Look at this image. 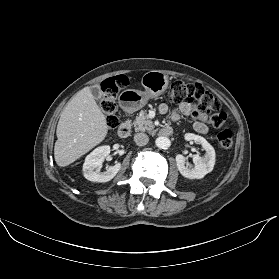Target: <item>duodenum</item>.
Wrapping results in <instances>:
<instances>
[{
	"instance_id": "1",
	"label": "duodenum",
	"mask_w": 279,
	"mask_h": 279,
	"mask_svg": "<svg viewBox=\"0 0 279 279\" xmlns=\"http://www.w3.org/2000/svg\"><path fill=\"white\" fill-rule=\"evenodd\" d=\"M130 130H131L130 123L128 121H124L120 124L117 133H118L119 137L126 138L129 135ZM172 132H173L172 127L169 125H166L161 129L160 135L167 137V136H170L172 134Z\"/></svg>"
}]
</instances>
